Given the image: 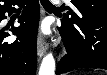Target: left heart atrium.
I'll return each mask as SVG.
<instances>
[{"label": "left heart atrium", "mask_w": 107, "mask_h": 75, "mask_svg": "<svg viewBox=\"0 0 107 75\" xmlns=\"http://www.w3.org/2000/svg\"><path fill=\"white\" fill-rule=\"evenodd\" d=\"M43 32L48 33V26L46 24L43 25L42 27Z\"/></svg>", "instance_id": "1"}]
</instances>
